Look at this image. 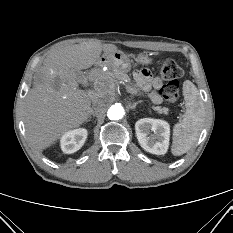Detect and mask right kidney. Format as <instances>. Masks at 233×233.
Here are the masks:
<instances>
[{"mask_svg":"<svg viewBox=\"0 0 233 233\" xmlns=\"http://www.w3.org/2000/svg\"><path fill=\"white\" fill-rule=\"evenodd\" d=\"M88 132L84 128L66 132L60 140L61 149L66 154L78 151L85 143Z\"/></svg>","mask_w":233,"mask_h":233,"instance_id":"ca27d5eb","label":"right kidney"}]
</instances>
